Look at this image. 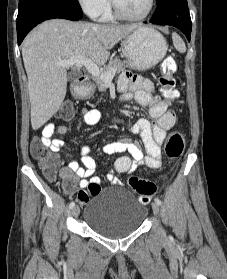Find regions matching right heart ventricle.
Segmentation results:
<instances>
[{
    "instance_id": "e07e8e85",
    "label": "right heart ventricle",
    "mask_w": 227,
    "mask_h": 279,
    "mask_svg": "<svg viewBox=\"0 0 227 279\" xmlns=\"http://www.w3.org/2000/svg\"><path fill=\"white\" fill-rule=\"evenodd\" d=\"M102 19H103V20H111V19H113V14L111 13L110 9H107V10L102 14Z\"/></svg>"
}]
</instances>
